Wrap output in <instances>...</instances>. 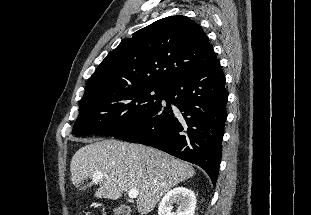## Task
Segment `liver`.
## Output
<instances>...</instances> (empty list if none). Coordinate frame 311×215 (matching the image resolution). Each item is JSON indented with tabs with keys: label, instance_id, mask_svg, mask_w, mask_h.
<instances>
[{
	"label": "liver",
	"instance_id": "1",
	"mask_svg": "<svg viewBox=\"0 0 311 215\" xmlns=\"http://www.w3.org/2000/svg\"><path fill=\"white\" fill-rule=\"evenodd\" d=\"M88 143L72 157L73 185L80 188L84 181L93 180L94 173L102 172L105 176L95 182L99 183L95 197L117 200L124 192L137 189V210L141 215L153 210L172 187L195 174L189 164L154 148L115 139Z\"/></svg>",
	"mask_w": 311,
	"mask_h": 215
}]
</instances>
